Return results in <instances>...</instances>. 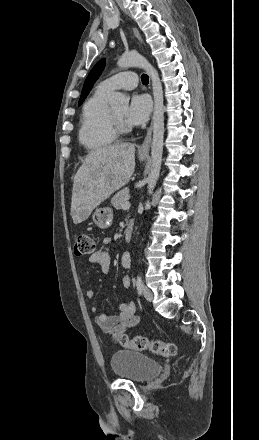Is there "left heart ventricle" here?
Here are the masks:
<instances>
[{
	"instance_id": "1",
	"label": "left heart ventricle",
	"mask_w": 259,
	"mask_h": 440,
	"mask_svg": "<svg viewBox=\"0 0 259 440\" xmlns=\"http://www.w3.org/2000/svg\"><path fill=\"white\" fill-rule=\"evenodd\" d=\"M113 111H114V113L116 114V116L118 118H120L121 120L125 121V114H126V111H127L126 107L117 108V109H114Z\"/></svg>"
}]
</instances>
